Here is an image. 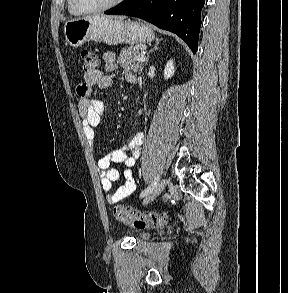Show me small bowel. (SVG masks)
<instances>
[{"label": "small bowel", "instance_id": "small-bowel-1", "mask_svg": "<svg viewBox=\"0 0 288 293\" xmlns=\"http://www.w3.org/2000/svg\"><path fill=\"white\" fill-rule=\"evenodd\" d=\"M103 62L106 71H114L117 68L116 56L113 52H106L103 55ZM124 76L127 82H136V77L133 73L126 71ZM111 82L109 75L100 70H95L92 73H85L84 82L76 88L77 95L80 97L78 109L83 132L91 146L94 145L96 130L100 126L105 112V104L102 100L92 99L90 95L93 87L105 89L111 85ZM143 139L142 133H136L127 145L114 149L98 160L97 167L101 186L108 193L107 200L110 203H117L135 191L134 166L136 160L140 157ZM112 163L124 167L122 174L125 178V182L113 193H111L113 184L118 181L120 173L117 169L110 167Z\"/></svg>", "mask_w": 288, "mask_h": 293}]
</instances>
